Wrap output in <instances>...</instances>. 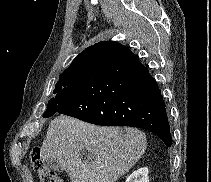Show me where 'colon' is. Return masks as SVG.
<instances>
[{"label":"colon","instance_id":"colon-1","mask_svg":"<svg viewBox=\"0 0 211 182\" xmlns=\"http://www.w3.org/2000/svg\"><path fill=\"white\" fill-rule=\"evenodd\" d=\"M30 161L41 182H62L57 174L45 165L42 158V150L39 147H35L30 151Z\"/></svg>","mask_w":211,"mask_h":182}]
</instances>
